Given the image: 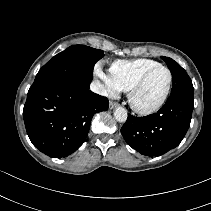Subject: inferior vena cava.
Wrapping results in <instances>:
<instances>
[{
    "mask_svg": "<svg viewBox=\"0 0 211 211\" xmlns=\"http://www.w3.org/2000/svg\"><path fill=\"white\" fill-rule=\"evenodd\" d=\"M90 89L97 94H101L106 96L107 95V90L105 87L99 82V81H93L90 85Z\"/></svg>",
    "mask_w": 211,
    "mask_h": 211,
    "instance_id": "obj_1",
    "label": "inferior vena cava"
}]
</instances>
